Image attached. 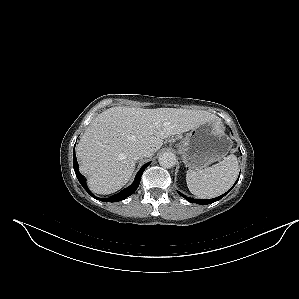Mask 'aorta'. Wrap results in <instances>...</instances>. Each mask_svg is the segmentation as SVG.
<instances>
[{
  "label": "aorta",
  "mask_w": 299,
  "mask_h": 299,
  "mask_svg": "<svg viewBox=\"0 0 299 299\" xmlns=\"http://www.w3.org/2000/svg\"><path fill=\"white\" fill-rule=\"evenodd\" d=\"M160 166L164 168H172L176 164V156L171 152H165L158 158Z\"/></svg>",
  "instance_id": "aorta-1"
}]
</instances>
